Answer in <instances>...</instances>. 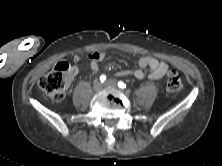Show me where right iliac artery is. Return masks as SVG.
<instances>
[{
	"label": "right iliac artery",
	"mask_w": 222,
	"mask_h": 166,
	"mask_svg": "<svg viewBox=\"0 0 222 166\" xmlns=\"http://www.w3.org/2000/svg\"><path fill=\"white\" fill-rule=\"evenodd\" d=\"M106 80V76L103 74L100 76V81L103 83Z\"/></svg>",
	"instance_id": "right-iliac-artery-1"
}]
</instances>
